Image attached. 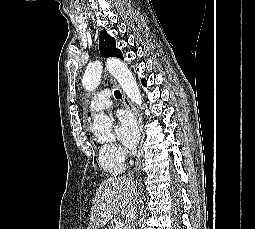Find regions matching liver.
Listing matches in <instances>:
<instances>
[{
  "mask_svg": "<svg viewBox=\"0 0 255 229\" xmlns=\"http://www.w3.org/2000/svg\"><path fill=\"white\" fill-rule=\"evenodd\" d=\"M139 194L138 184L127 177L103 180L96 191L87 229H100L116 214L127 215Z\"/></svg>",
  "mask_w": 255,
  "mask_h": 229,
  "instance_id": "1",
  "label": "liver"
}]
</instances>
